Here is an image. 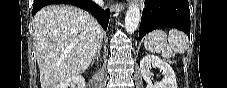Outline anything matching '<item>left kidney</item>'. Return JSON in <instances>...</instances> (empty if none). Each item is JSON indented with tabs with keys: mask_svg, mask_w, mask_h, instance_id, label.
<instances>
[{
	"mask_svg": "<svg viewBox=\"0 0 227 88\" xmlns=\"http://www.w3.org/2000/svg\"><path fill=\"white\" fill-rule=\"evenodd\" d=\"M152 68H158L164 75L160 82L152 83ZM140 69L147 88H177V81L172 67L155 55H146L140 61Z\"/></svg>",
	"mask_w": 227,
	"mask_h": 88,
	"instance_id": "5707ae66",
	"label": "left kidney"
}]
</instances>
